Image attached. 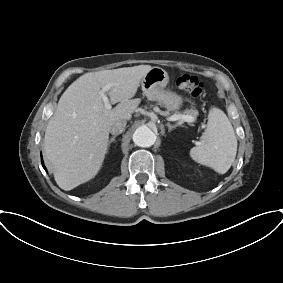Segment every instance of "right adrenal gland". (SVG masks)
<instances>
[{
  "instance_id": "obj_1",
  "label": "right adrenal gland",
  "mask_w": 283,
  "mask_h": 283,
  "mask_svg": "<svg viewBox=\"0 0 283 283\" xmlns=\"http://www.w3.org/2000/svg\"><path fill=\"white\" fill-rule=\"evenodd\" d=\"M116 137H117V135H114L113 137L110 138V140L108 141V148L110 147L111 143H113L115 141Z\"/></svg>"
}]
</instances>
